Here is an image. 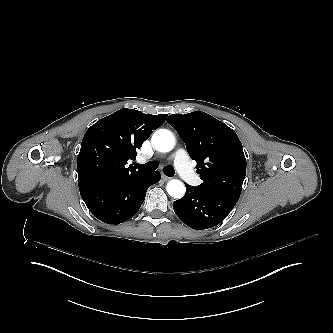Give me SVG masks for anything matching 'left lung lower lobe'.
<instances>
[{
    "label": "left lung lower lobe",
    "instance_id": "1",
    "mask_svg": "<svg viewBox=\"0 0 333 333\" xmlns=\"http://www.w3.org/2000/svg\"><path fill=\"white\" fill-rule=\"evenodd\" d=\"M183 198L173 203L176 215L193 229H207L221 223L232 211L239 197L236 195L206 191L200 186L185 183Z\"/></svg>",
    "mask_w": 333,
    "mask_h": 333
}]
</instances>
